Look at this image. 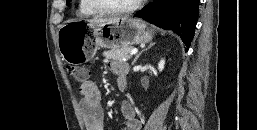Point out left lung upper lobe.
<instances>
[{
    "label": "left lung upper lobe",
    "mask_w": 257,
    "mask_h": 130,
    "mask_svg": "<svg viewBox=\"0 0 257 130\" xmlns=\"http://www.w3.org/2000/svg\"><path fill=\"white\" fill-rule=\"evenodd\" d=\"M71 0H66L67 4L70 2Z\"/></svg>",
    "instance_id": "left-lung-upper-lobe-1"
}]
</instances>
